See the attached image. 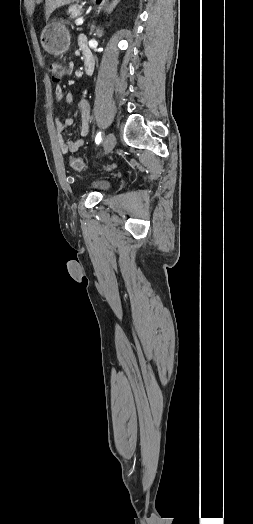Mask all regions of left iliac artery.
<instances>
[{
    "label": "left iliac artery",
    "instance_id": "1",
    "mask_svg": "<svg viewBox=\"0 0 253 524\" xmlns=\"http://www.w3.org/2000/svg\"><path fill=\"white\" fill-rule=\"evenodd\" d=\"M101 139H102V137H101V132H99V133L96 135V138H95V142H96V144H99V143L101 142Z\"/></svg>",
    "mask_w": 253,
    "mask_h": 524
}]
</instances>
